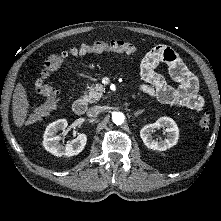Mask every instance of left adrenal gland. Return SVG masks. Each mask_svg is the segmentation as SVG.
Instances as JSON below:
<instances>
[{"instance_id":"a2214340","label":"left adrenal gland","mask_w":221,"mask_h":221,"mask_svg":"<svg viewBox=\"0 0 221 221\" xmlns=\"http://www.w3.org/2000/svg\"><path fill=\"white\" fill-rule=\"evenodd\" d=\"M144 112V110H139V111H136L134 112V116L135 117H138L140 114H142Z\"/></svg>"}]
</instances>
